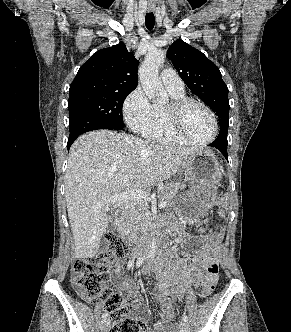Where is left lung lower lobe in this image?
<instances>
[{"label":"left lung lower lobe","mask_w":291,"mask_h":332,"mask_svg":"<svg viewBox=\"0 0 291 332\" xmlns=\"http://www.w3.org/2000/svg\"><path fill=\"white\" fill-rule=\"evenodd\" d=\"M211 147H215L220 150L225 158L228 160L227 155V135L224 132H220L217 139L212 143L209 144Z\"/></svg>","instance_id":"0a47b994"}]
</instances>
